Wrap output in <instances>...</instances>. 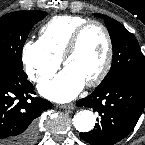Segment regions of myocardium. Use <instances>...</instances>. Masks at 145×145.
<instances>
[{
  "mask_svg": "<svg viewBox=\"0 0 145 145\" xmlns=\"http://www.w3.org/2000/svg\"><path fill=\"white\" fill-rule=\"evenodd\" d=\"M93 25L98 26L103 31L106 38V42H107V51H106V56H105L103 66L101 70L99 71V73L94 78H92L91 80L85 83L88 87L98 86L106 78V76L108 75L111 69L113 56H114V47H113L112 37L108 28L102 22L98 20H88L84 22L79 27H77V29L74 31L63 55L61 56V63L65 66L66 61L76 51L79 45L80 39L83 33L85 32V30Z\"/></svg>",
  "mask_w": 145,
  "mask_h": 145,
  "instance_id": "myocardium-1",
  "label": "myocardium"
}]
</instances>
